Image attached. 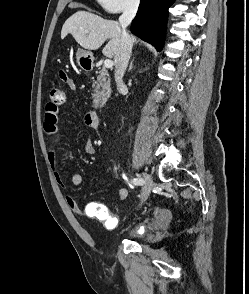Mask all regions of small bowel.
I'll return each instance as SVG.
<instances>
[{"label": "small bowel", "mask_w": 249, "mask_h": 294, "mask_svg": "<svg viewBox=\"0 0 249 294\" xmlns=\"http://www.w3.org/2000/svg\"><path fill=\"white\" fill-rule=\"evenodd\" d=\"M60 78L71 90L76 89L74 80L70 78L65 72H60ZM58 121L59 107L47 104L42 126L44 132L50 137L49 161L52 166V174L54 181L60 188L66 189V182L58 169L57 151L60 146V129L58 126ZM84 124L86 127L90 129L96 128L93 122L90 120L88 113L84 117ZM84 150L86 154L93 155L96 153L97 148L95 144L90 139H88L85 143ZM70 181L75 187H81L83 185L82 176L76 172L70 175ZM127 197V189L119 188L117 190L118 201H124ZM65 200L68 208L78 216L97 219L108 230L115 229L118 225V216L114 213H111L107 209V207L100 202L88 201L82 208L77 203V201L69 195L66 196ZM163 213L164 210L159 209L156 212L157 219H159L163 215Z\"/></svg>", "instance_id": "small-bowel-1"}]
</instances>
